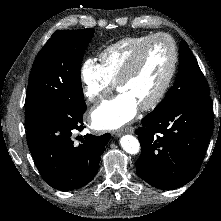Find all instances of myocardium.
Listing matches in <instances>:
<instances>
[{
  "instance_id": "obj_1",
  "label": "myocardium",
  "mask_w": 221,
  "mask_h": 221,
  "mask_svg": "<svg viewBox=\"0 0 221 221\" xmlns=\"http://www.w3.org/2000/svg\"><path fill=\"white\" fill-rule=\"evenodd\" d=\"M160 38L167 39L170 42L171 48H172V61H171V65H170V69L167 74V77L164 80L160 89L148 102H146L145 104L139 107L142 111H148V110L154 109L163 100V98L167 94L172 84V81L174 79V76L177 70L178 60H179L178 47H177L175 39L170 34L163 33V32L151 35L135 50V52L129 58V60L127 61L123 71L121 72L116 82V87L119 90V88L124 83L129 81L137 72L138 68L140 67L142 56H143L145 49L153 41L160 39Z\"/></svg>"
}]
</instances>
